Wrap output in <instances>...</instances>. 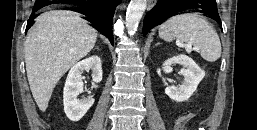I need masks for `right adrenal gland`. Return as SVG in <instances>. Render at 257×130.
<instances>
[{
  "label": "right adrenal gland",
  "mask_w": 257,
  "mask_h": 130,
  "mask_svg": "<svg viewBox=\"0 0 257 130\" xmlns=\"http://www.w3.org/2000/svg\"><path fill=\"white\" fill-rule=\"evenodd\" d=\"M95 49L99 50V48H98V47H96Z\"/></svg>",
  "instance_id": "right-adrenal-gland-1"
}]
</instances>
